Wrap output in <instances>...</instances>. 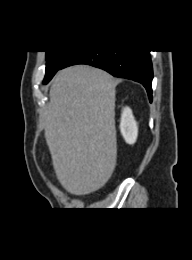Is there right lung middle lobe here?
Masks as SVG:
<instances>
[{
    "label": "right lung middle lobe",
    "instance_id": "dd1d6c3e",
    "mask_svg": "<svg viewBox=\"0 0 192 260\" xmlns=\"http://www.w3.org/2000/svg\"><path fill=\"white\" fill-rule=\"evenodd\" d=\"M73 54L71 51H46V74L45 82H49L55 73L62 68L66 60Z\"/></svg>",
    "mask_w": 192,
    "mask_h": 260
}]
</instances>
